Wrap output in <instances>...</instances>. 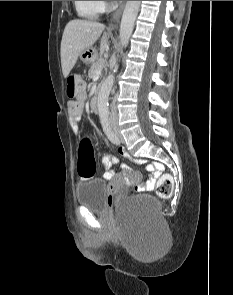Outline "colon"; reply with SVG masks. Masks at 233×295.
<instances>
[{
    "instance_id": "colon-1",
    "label": "colon",
    "mask_w": 233,
    "mask_h": 295,
    "mask_svg": "<svg viewBox=\"0 0 233 295\" xmlns=\"http://www.w3.org/2000/svg\"><path fill=\"white\" fill-rule=\"evenodd\" d=\"M85 83L80 76L71 74L66 79V95L71 100H81L85 97ZM96 172L93 146L88 139L81 142L79 147L78 173L82 178H90ZM173 179L170 175H163L157 184V194L161 199H168L173 192Z\"/></svg>"
}]
</instances>
